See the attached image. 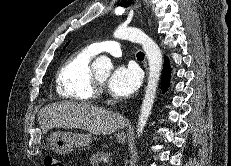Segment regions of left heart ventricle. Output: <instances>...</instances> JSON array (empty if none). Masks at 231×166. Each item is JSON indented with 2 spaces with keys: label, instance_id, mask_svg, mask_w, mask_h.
I'll return each mask as SVG.
<instances>
[{
  "label": "left heart ventricle",
  "instance_id": "obj_1",
  "mask_svg": "<svg viewBox=\"0 0 231 166\" xmlns=\"http://www.w3.org/2000/svg\"><path fill=\"white\" fill-rule=\"evenodd\" d=\"M97 78L101 81L104 82L106 80V76L102 74H96Z\"/></svg>",
  "mask_w": 231,
  "mask_h": 166
}]
</instances>
